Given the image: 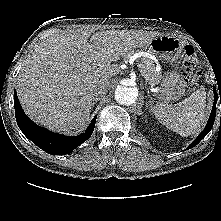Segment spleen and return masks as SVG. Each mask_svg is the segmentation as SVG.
<instances>
[{"mask_svg": "<svg viewBox=\"0 0 221 221\" xmlns=\"http://www.w3.org/2000/svg\"><path fill=\"white\" fill-rule=\"evenodd\" d=\"M206 92L198 89L175 105L159 104L153 107L155 117L168 129L181 136L195 134L205 123Z\"/></svg>", "mask_w": 221, "mask_h": 221, "instance_id": "1", "label": "spleen"}]
</instances>
